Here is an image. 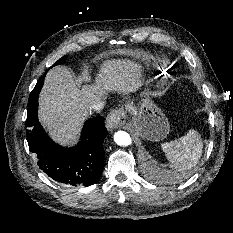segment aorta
I'll use <instances>...</instances> for the list:
<instances>
[{
    "label": "aorta",
    "instance_id": "1",
    "mask_svg": "<svg viewBox=\"0 0 233 233\" xmlns=\"http://www.w3.org/2000/svg\"><path fill=\"white\" fill-rule=\"evenodd\" d=\"M114 141L120 146H129L132 143L130 135L125 131H117L114 134Z\"/></svg>",
    "mask_w": 233,
    "mask_h": 233
}]
</instances>
